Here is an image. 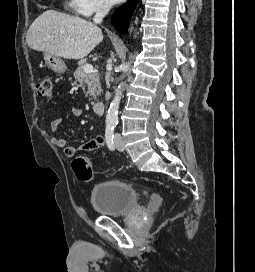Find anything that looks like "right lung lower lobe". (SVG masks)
<instances>
[{"label": "right lung lower lobe", "instance_id": "obj_1", "mask_svg": "<svg viewBox=\"0 0 255 272\" xmlns=\"http://www.w3.org/2000/svg\"><path fill=\"white\" fill-rule=\"evenodd\" d=\"M139 0H128V2L118 8L112 17L114 28L123 34L128 31L130 18L138 4Z\"/></svg>", "mask_w": 255, "mask_h": 272}]
</instances>
